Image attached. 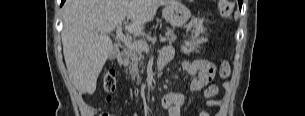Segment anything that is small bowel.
<instances>
[{
	"instance_id": "obj_1",
	"label": "small bowel",
	"mask_w": 305,
	"mask_h": 116,
	"mask_svg": "<svg viewBox=\"0 0 305 116\" xmlns=\"http://www.w3.org/2000/svg\"><path fill=\"white\" fill-rule=\"evenodd\" d=\"M173 55L174 49L171 46H165L160 53L159 59L170 61ZM182 67L192 77L190 89L192 91H200L204 89V96L207 99L206 105L208 107L218 106L220 102L216 99V96L219 89L217 85L211 83L216 74L215 65L206 59H196L191 62H183ZM185 102L186 98L183 94L174 92L167 93L161 99V105L168 111L169 116H181ZM198 116L209 115L204 111H198Z\"/></svg>"
}]
</instances>
